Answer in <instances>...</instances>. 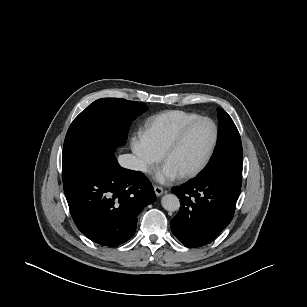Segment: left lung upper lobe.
Returning <instances> with one entry per match:
<instances>
[{
  "instance_id": "5c2ea615",
  "label": "left lung upper lobe",
  "mask_w": 307,
  "mask_h": 307,
  "mask_svg": "<svg viewBox=\"0 0 307 307\" xmlns=\"http://www.w3.org/2000/svg\"><path fill=\"white\" fill-rule=\"evenodd\" d=\"M218 143L215 153L201 176L221 175L242 184V145L231 117L218 109Z\"/></svg>"
}]
</instances>
